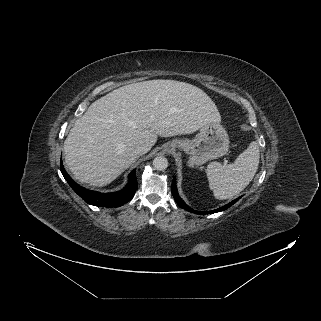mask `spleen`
I'll return each instance as SVG.
<instances>
[{"label":"spleen","mask_w":321,"mask_h":321,"mask_svg":"<svg viewBox=\"0 0 321 321\" xmlns=\"http://www.w3.org/2000/svg\"><path fill=\"white\" fill-rule=\"evenodd\" d=\"M259 158V146L253 141L234 163L225 166L211 162L206 168V174L215 198L225 200L243 191L257 172Z\"/></svg>","instance_id":"3e777b00"}]
</instances>
